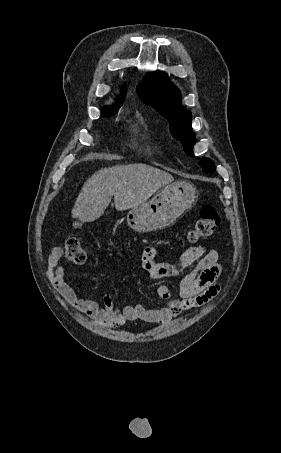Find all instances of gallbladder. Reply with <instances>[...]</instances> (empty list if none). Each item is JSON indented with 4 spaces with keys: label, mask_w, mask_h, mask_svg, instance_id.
I'll return each mask as SVG.
<instances>
[{
    "label": "gallbladder",
    "mask_w": 281,
    "mask_h": 453,
    "mask_svg": "<svg viewBox=\"0 0 281 453\" xmlns=\"http://www.w3.org/2000/svg\"><path fill=\"white\" fill-rule=\"evenodd\" d=\"M73 225H74V227H75V228H77V229H78V228H80V227H81V225H82V224H81V222H80V221H78V220H77V221H75V222H74V224H73Z\"/></svg>",
    "instance_id": "bac80fb5"
}]
</instances>
